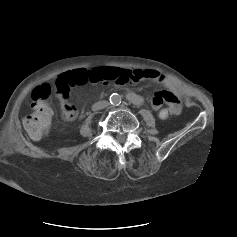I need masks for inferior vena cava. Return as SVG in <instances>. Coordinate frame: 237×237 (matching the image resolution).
Wrapping results in <instances>:
<instances>
[{
    "mask_svg": "<svg viewBox=\"0 0 237 237\" xmlns=\"http://www.w3.org/2000/svg\"><path fill=\"white\" fill-rule=\"evenodd\" d=\"M109 105V102L108 101H98L96 103L93 104L92 106V110L93 111H98V110H101V109H104L106 108L107 106Z\"/></svg>",
    "mask_w": 237,
    "mask_h": 237,
    "instance_id": "inferior-vena-cava-1",
    "label": "inferior vena cava"
}]
</instances>
